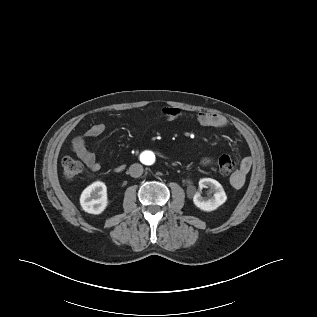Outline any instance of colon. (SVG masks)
<instances>
[{
	"instance_id": "5ec220e1",
	"label": "colon",
	"mask_w": 317,
	"mask_h": 317,
	"mask_svg": "<svg viewBox=\"0 0 317 317\" xmlns=\"http://www.w3.org/2000/svg\"><path fill=\"white\" fill-rule=\"evenodd\" d=\"M216 167L218 172L221 175H229L235 171L236 163L235 161L229 157L228 155H222L216 162ZM62 169L63 174L67 179H74L79 174H81L83 170V166L81 162L72 158V157H65L62 160Z\"/></svg>"
}]
</instances>
